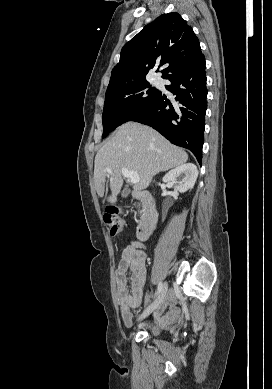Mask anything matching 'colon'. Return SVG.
Wrapping results in <instances>:
<instances>
[{"label":"colon","mask_w":272,"mask_h":389,"mask_svg":"<svg viewBox=\"0 0 272 389\" xmlns=\"http://www.w3.org/2000/svg\"><path fill=\"white\" fill-rule=\"evenodd\" d=\"M104 222L112 236L118 234L122 228L123 221L119 215V210L110 208L104 215Z\"/></svg>","instance_id":"colon-1"}]
</instances>
